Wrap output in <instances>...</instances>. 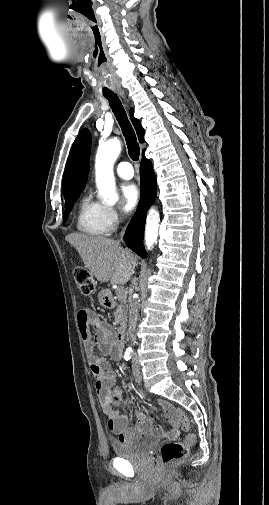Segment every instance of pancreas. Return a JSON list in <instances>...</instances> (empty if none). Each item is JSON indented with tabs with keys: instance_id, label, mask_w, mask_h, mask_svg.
<instances>
[{
	"instance_id": "pancreas-1",
	"label": "pancreas",
	"mask_w": 269,
	"mask_h": 505,
	"mask_svg": "<svg viewBox=\"0 0 269 505\" xmlns=\"http://www.w3.org/2000/svg\"><path fill=\"white\" fill-rule=\"evenodd\" d=\"M116 299L118 300V303L116 305V310L114 312V323L115 324H124L126 322V310H127V305H126V294L125 291L123 290L122 293H118L116 290Z\"/></svg>"
}]
</instances>
